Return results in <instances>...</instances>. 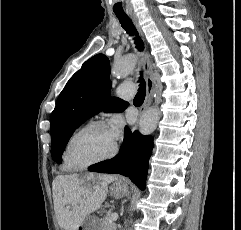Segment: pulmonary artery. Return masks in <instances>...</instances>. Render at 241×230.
Returning <instances> with one entry per match:
<instances>
[{"label": "pulmonary artery", "mask_w": 241, "mask_h": 230, "mask_svg": "<svg viewBox=\"0 0 241 230\" xmlns=\"http://www.w3.org/2000/svg\"><path fill=\"white\" fill-rule=\"evenodd\" d=\"M134 84L131 82L123 83L116 89V95L121 99H131L134 95Z\"/></svg>", "instance_id": "obj_1"}]
</instances>
